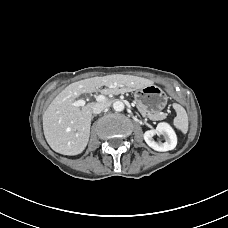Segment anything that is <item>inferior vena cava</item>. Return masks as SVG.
Here are the masks:
<instances>
[{"label":"inferior vena cava","mask_w":228,"mask_h":228,"mask_svg":"<svg viewBox=\"0 0 228 228\" xmlns=\"http://www.w3.org/2000/svg\"><path fill=\"white\" fill-rule=\"evenodd\" d=\"M108 103L107 102H99V103H96L92 109V112L94 114H99L101 113L102 111H104L107 107H108Z\"/></svg>","instance_id":"obj_1"}]
</instances>
